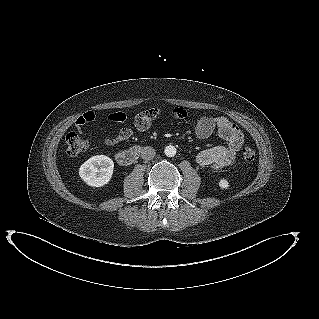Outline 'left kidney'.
Masks as SVG:
<instances>
[{
	"label": "left kidney",
	"mask_w": 319,
	"mask_h": 319,
	"mask_svg": "<svg viewBox=\"0 0 319 319\" xmlns=\"http://www.w3.org/2000/svg\"><path fill=\"white\" fill-rule=\"evenodd\" d=\"M228 184H229L228 181L225 180V179H221V180L219 181V187H220L221 189H226V188L229 186Z\"/></svg>",
	"instance_id": "left-kidney-1"
}]
</instances>
